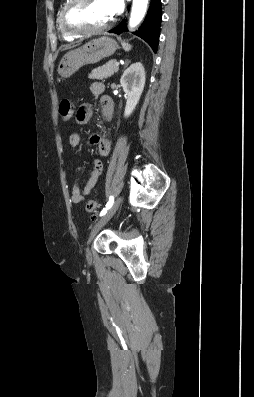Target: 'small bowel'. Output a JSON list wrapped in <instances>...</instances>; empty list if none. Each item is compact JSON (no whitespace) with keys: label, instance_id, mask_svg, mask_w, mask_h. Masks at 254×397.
I'll return each mask as SVG.
<instances>
[{"label":"small bowel","instance_id":"1","mask_svg":"<svg viewBox=\"0 0 254 397\" xmlns=\"http://www.w3.org/2000/svg\"><path fill=\"white\" fill-rule=\"evenodd\" d=\"M105 86L102 82L96 81L90 85V91L95 96H100L101 111L104 119L106 121H111L114 113V103L113 100L104 95ZM92 119V106L89 103H83L77 110L76 123L79 125H85L90 123ZM82 139L80 134L72 133L69 136V143L73 147H78L81 145ZM90 142L97 145L98 153L101 157H106L109 155L111 150L110 141L101 136L98 133H94L90 136ZM80 170V168H78ZM103 172V163L100 159L94 161L92 170L86 180L84 187L79 184L74 183L71 187V201L75 204H82L87 196L91 193L93 188L98 183V180Z\"/></svg>","mask_w":254,"mask_h":397}]
</instances>
